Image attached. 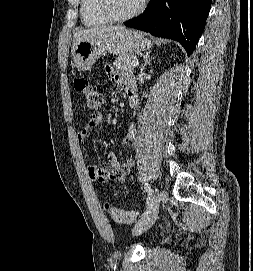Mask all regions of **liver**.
I'll use <instances>...</instances> for the list:
<instances>
[{"instance_id":"1","label":"liver","mask_w":253,"mask_h":271,"mask_svg":"<svg viewBox=\"0 0 253 271\" xmlns=\"http://www.w3.org/2000/svg\"><path fill=\"white\" fill-rule=\"evenodd\" d=\"M125 29L122 26H109V27H96V28H91V29H85V30H81L78 31L74 34V43L75 44L76 41H78L79 39H83L88 37L91 34H95V33H103V32H110V31H117V30H123Z\"/></svg>"}]
</instances>
